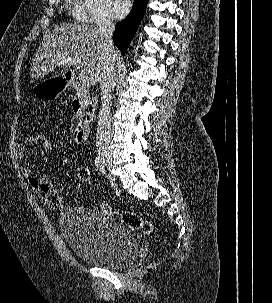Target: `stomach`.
<instances>
[{"instance_id": "1", "label": "stomach", "mask_w": 272, "mask_h": 303, "mask_svg": "<svg viewBox=\"0 0 272 303\" xmlns=\"http://www.w3.org/2000/svg\"><path fill=\"white\" fill-rule=\"evenodd\" d=\"M64 78L53 77L35 85L34 95L43 100L56 99L68 87Z\"/></svg>"}]
</instances>
